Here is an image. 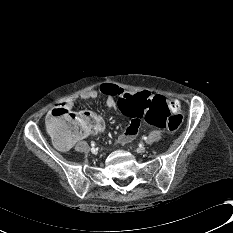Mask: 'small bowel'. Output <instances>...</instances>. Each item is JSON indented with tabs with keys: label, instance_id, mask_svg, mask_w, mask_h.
Returning <instances> with one entry per match:
<instances>
[{
	"label": "small bowel",
	"instance_id": "c3829d8e",
	"mask_svg": "<svg viewBox=\"0 0 233 233\" xmlns=\"http://www.w3.org/2000/svg\"><path fill=\"white\" fill-rule=\"evenodd\" d=\"M126 92L127 91L123 90L122 88H120L119 86H117L115 84H103L96 89H93V90H90V91L83 93L81 95V97L85 100H88V99L97 98L99 95H105L106 96V105L109 108H116V106H117L116 99L119 98L123 93H126ZM164 100L168 105L171 104L173 101H176V100H172V99H168V98H164ZM64 105L70 109H72L74 107V103L71 99L65 100ZM140 118H136V119L131 118L130 119V123H129L128 127L126 128V130L118 136V138H117L118 143L127 144L135 139V137L138 135L139 129H140V124H141ZM79 139H81V138H71V137H69V138L68 137L67 138H62V137L56 138L55 137V143H56V146L60 150L65 151V150L70 149L73 146V144L76 141H78Z\"/></svg>",
	"mask_w": 233,
	"mask_h": 233
}]
</instances>
